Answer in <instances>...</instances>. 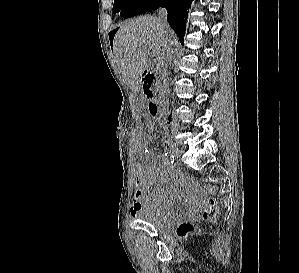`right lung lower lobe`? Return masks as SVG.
<instances>
[{"label":"right lung lower lobe","instance_id":"obj_1","mask_svg":"<svg viewBox=\"0 0 299 273\" xmlns=\"http://www.w3.org/2000/svg\"><path fill=\"white\" fill-rule=\"evenodd\" d=\"M192 0H137L123 15L124 18L132 17L142 12L156 10L165 7L168 12L167 20L173 28L180 42L183 44L185 35L187 10Z\"/></svg>","mask_w":299,"mask_h":273}]
</instances>
